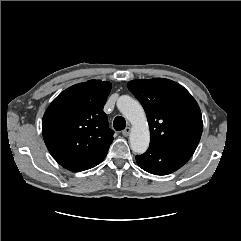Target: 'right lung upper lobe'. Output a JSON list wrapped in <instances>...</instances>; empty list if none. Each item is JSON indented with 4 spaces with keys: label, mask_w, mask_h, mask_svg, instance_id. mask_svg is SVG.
<instances>
[{
    "label": "right lung upper lobe",
    "mask_w": 241,
    "mask_h": 241,
    "mask_svg": "<svg viewBox=\"0 0 241 241\" xmlns=\"http://www.w3.org/2000/svg\"><path fill=\"white\" fill-rule=\"evenodd\" d=\"M111 90L108 81L89 80L60 93L42 120V134L52 157L64 168L91 160L108 151L113 131L104 104Z\"/></svg>",
    "instance_id": "1"
}]
</instances>
